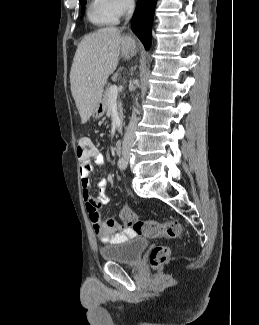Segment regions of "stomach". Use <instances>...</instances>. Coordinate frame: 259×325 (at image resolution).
<instances>
[{
  "label": "stomach",
  "instance_id": "1",
  "mask_svg": "<svg viewBox=\"0 0 259 325\" xmlns=\"http://www.w3.org/2000/svg\"><path fill=\"white\" fill-rule=\"evenodd\" d=\"M106 112V107L105 104L103 102V100H101L94 108L92 115L95 118H100L104 115V113Z\"/></svg>",
  "mask_w": 259,
  "mask_h": 325
}]
</instances>
